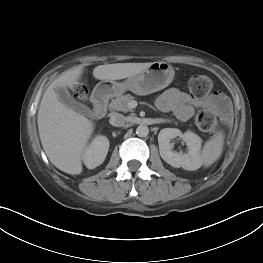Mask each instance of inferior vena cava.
<instances>
[{"label":"inferior vena cava","instance_id":"1","mask_svg":"<svg viewBox=\"0 0 263 263\" xmlns=\"http://www.w3.org/2000/svg\"><path fill=\"white\" fill-rule=\"evenodd\" d=\"M110 124L116 127L124 126L126 123V117L120 113H115L110 117Z\"/></svg>","mask_w":263,"mask_h":263}]
</instances>
